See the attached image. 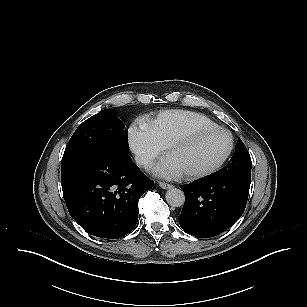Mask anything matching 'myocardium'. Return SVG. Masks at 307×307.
Returning <instances> with one entry per match:
<instances>
[{
	"label": "myocardium",
	"instance_id": "f54148a6",
	"mask_svg": "<svg viewBox=\"0 0 307 307\" xmlns=\"http://www.w3.org/2000/svg\"><path fill=\"white\" fill-rule=\"evenodd\" d=\"M214 132H222L225 133L226 135H228L229 139H230V145L229 148L226 152V154L222 157V159L220 161H218L216 164H214L213 166L200 170V171H194V172H189V173H185V174H181V177L185 180H196V179H200L206 176H209L215 172H217L218 170H220L225 163L228 161V159L230 158V156L232 155L234 148H235V139L234 136L232 135V133L220 126H214V127H207V128H200V129H196L193 131H190L189 133L185 134L184 136L178 138L177 140H175L174 142H172L171 144H169L166 148V154L168 155L169 153L179 150L181 148H184L186 146H188L189 144H191L193 141H195L198 138H201L204 135L210 134V133H214Z\"/></svg>",
	"mask_w": 307,
	"mask_h": 307
}]
</instances>
